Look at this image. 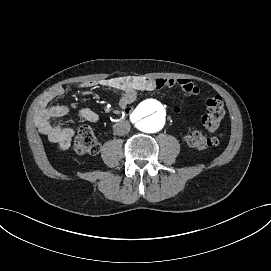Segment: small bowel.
<instances>
[{"instance_id": "obj_1", "label": "small bowel", "mask_w": 271, "mask_h": 271, "mask_svg": "<svg viewBox=\"0 0 271 271\" xmlns=\"http://www.w3.org/2000/svg\"><path fill=\"white\" fill-rule=\"evenodd\" d=\"M97 86L108 87L121 93L119 105L127 108L135 101L138 92L153 91L164 87H179L187 96H195L200 92L199 87L189 79L177 78H145L135 76H119L100 81H87L80 84L79 88L86 89ZM65 91L61 86L50 88L40 99L34 122L40 133L47 136L52 142L57 143L62 149L70 146L76 131L73 128L64 127L62 120L70 113V107L66 104H52V102L63 97ZM77 115L89 122H97L99 115L89 108H80Z\"/></svg>"}]
</instances>
